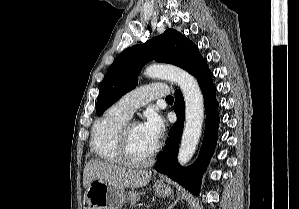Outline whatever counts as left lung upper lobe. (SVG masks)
Instances as JSON below:
<instances>
[{"instance_id":"obj_1","label":"left lung upper lobe","mask_w":299,"mask_h":209,"mask_svg":"<svg viewBox=\"0 0 299 209\" xmlns=\"http://www.w3.org/2000/svg\"><path fill=\"white\" fill-rule=\"evenodd\" d=\"M152 59L174 64L192 75L206 60L193 42L174 29L166 30L143 45L125 49L117 56L101 83L97 115L135 88L138 73Z\"/></svg>"}]
</instances>
